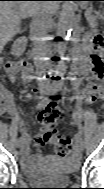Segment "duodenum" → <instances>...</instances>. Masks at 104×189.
I'll return each mask as SVG.
<instances>
[{
	"label": "duodenum",
	"mask_w": 104,
	"mask_h": 189,
	"mask_svg": "<svg viewBox=\"0 0 104 189\" xmlns=\"http://www.w3.org/2000/svg\"><path fill=\"white\" fill-rule=\"evenodd\" d=\"M76 54L79 55V59L81 61H83V60H90L87 52L84 49H82V48L77 49L76 50ZM31 70H32V68H31Z\"/></svg>",
	"instance_id": "duodenum-1"
}]
</instances>
